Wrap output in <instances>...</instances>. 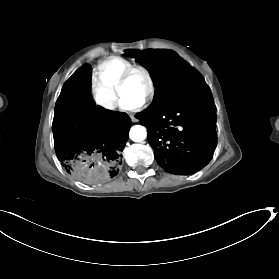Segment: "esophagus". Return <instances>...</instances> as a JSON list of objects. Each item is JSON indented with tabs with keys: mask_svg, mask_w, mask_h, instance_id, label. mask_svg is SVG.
<instances>
[{
	"mask_svg": "<svg viewBox=\"0 0 279 279\" xmlns=\"http://www.w3.org/2000/svg\"><path fill=\"white\" fill-rule=\"evenodd\" d=\"M130 118H131V120H132V122H136L137 120H136V118L134 117V115H130Z\"/></svg>",
	"mask_w": 279,
	"mask_h": 279,
	"instance_id": "esophagus-1",
	"label": "esophagus"
}]
</instances>
